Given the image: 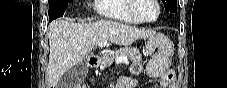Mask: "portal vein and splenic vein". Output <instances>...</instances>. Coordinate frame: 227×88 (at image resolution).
<instances>
[{
  "label": "portal vein and splenic vein",
  "instance_id": "18ae733b",
  "mask_svg": "<svg viewBox=\"0 0 227 88\" xmlns=\"http://www.w3.org/2000/svg\"><path fill=\"white\" fill-rule=\"evenodd\" d=\"M106 45H107V42H104V41L98 43V46H99V47H104V46H106ZM115 62H116V63H121V62L126 63V62H128V57H126V56L117 57V58L115 59Z\"/></svg>",
  "mask_w": 227,
  "mask_h": 88
}]
</instances>
